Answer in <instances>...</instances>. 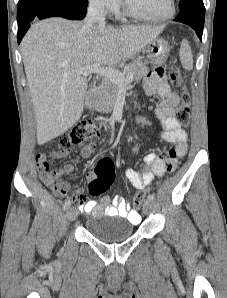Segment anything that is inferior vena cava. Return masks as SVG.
Wrapping results in <instances>:
<instances>
[{
    "mask_svg": "<svg viewBox=\"0 0 227 298\" xmlns=\"http://www.w3.org/2000/svg\"><path fill=\"white\" fill-rule=\"evenodd\" d=\"M105 15L106 11L103 2L100 0L91 2L83 22V29L91 30L97 27H105Z\"/></svg>",
    "mask_w": 227,
    "mask_h": 298,
    "instance_id": "1",
    "label": "inferior vena cava"
}]
</instances>
